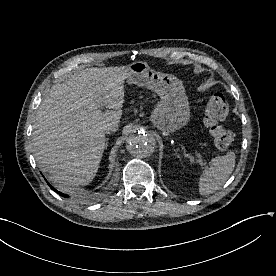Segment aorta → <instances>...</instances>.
Listing matches in <instances>:
<instances>
[{"label":"aorta","instance_id":"aorta-1","mask_svg":"<svg viewBox=\"0 0 276 276\" xmlns=\"http://www.w3.org/2000/svg\"><path fill=\"white\" fill-rule=\"evenodd\" d=\"M155 147V137L144 131L132 133L126 142L128 152L136 158L149 157L155 151Z\"/></svg>","mask_w":276,"mask_h":276}]
</instances>
